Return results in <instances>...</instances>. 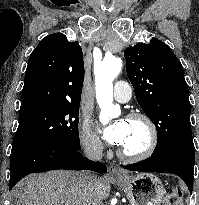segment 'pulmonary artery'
I'll use <instances>...</instances> for the list:
<instances>
[{
  "label": "pulmonary artery",
  "instance_id": "e3ab8cb5",
  "mask_svg": "<svg viewBox=\"0 0 199 205\" xmlns=\"http://www.w3.org/2000/svg\"><path fill=\"white\" fill-rule=\"evenodd\" d=\"M132 88L126 81H117L114 85V99L117 102H127L131 99Z\"/></svg>",
  "mask_w": 199,
  "mask_h": 205
}]
</instances>
